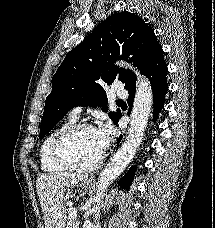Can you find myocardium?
Here are the masks:
<instances>
[{"instance_id": "obj_1", "label": "myocardium", "mask_w": 215, "mask_h": 228, "mask_svg": "<svg viewBox=\"0 0 215 228\" xmlns=\"http://www.w3.org/2000/svg\"><path fill=\"white\" fill-rule=\"evenodd\" d=\"M89 129L96 130V128L87 122H75L71 125L64 128L60 131L50 146V158L51 161L58 167L64 170L78 171V172H89L99 168L106 159V152L102 154V156L95 161L94 163L88 165H77L70 162L64 155L63 147L65 142L72 137L74 134L79 132L80 130Z\"/></svg>"}]
</instances>
